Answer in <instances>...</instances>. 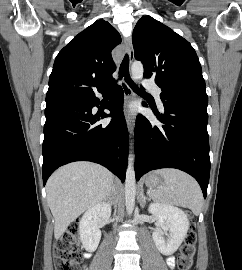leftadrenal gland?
<instances>
[{"instance_id": "1", "label": "left adrenal gland", "mask_w": 242, "mask_h": 270, "mask_svg": "<svg viewBox=\"0 0 242 270\" xmlns=\"http://www.w3.org/2000/svg\"><path fill=\"white\" fill-rule=\"evenodd\" d=\"M145 203H146V196H145L144 192L142 191V193H141V198H140V206H141L142 208H144Z\"/></svg>"}]
</instances>
